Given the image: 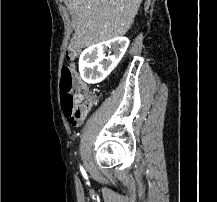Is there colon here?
<instances>
[{
  "label": "colon",
  "instance_id": "5ec220e1",
  "mask_svg": "<svg viewBox=\"0 0 217 202\" xmlns=\"http://www.w3.org/2000/svg\"><path fill=\"white\" fill-rule=\"evenodd\" d=\"M79 47H67L64 60H73V55H77ZM67 67H62L61 82L62 87V104L64 107V117H69L70 125L74 128H81L82 124L78 123L82 119L84 111H91L93 103H97L96 93H78L86 91L85 80H77L80 73V63H67ZM73 111V112H72Z\"/></svg>",
  "mask_w": 217,
  "mask_h": 202
}]
</instances>
